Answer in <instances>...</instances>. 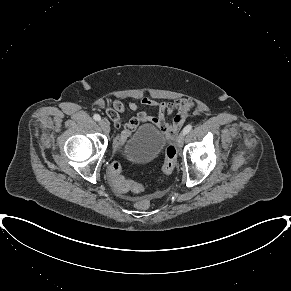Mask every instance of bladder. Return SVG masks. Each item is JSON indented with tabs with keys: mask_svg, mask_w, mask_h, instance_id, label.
<instances>
[{
	"mask_svg": "<svg viewBox=\"0 0 291 291\" xmlns=\"http://www.w3.org/2000/svg\"><path fill=\"white\" fill-rule=\"evenodd\" d=\"M165 135L150 124L140 126L122 145L120 154L130 163L146 164L155 160L166 147Z\"/></svg>",
	"mask_w": 291,
	"mask_h": 291,
	"instance_id": "31cf9c89",
	"label": "bladder"
}]
</instances>
